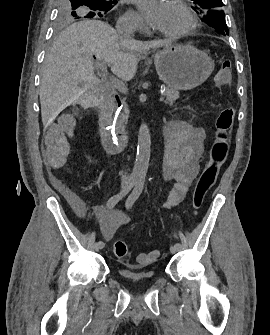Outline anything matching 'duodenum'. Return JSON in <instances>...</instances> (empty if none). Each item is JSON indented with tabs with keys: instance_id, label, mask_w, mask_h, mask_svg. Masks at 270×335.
Wrapping results in <instances>:
<instances>
[{
	"instance_id": "duodenum-1",
	"label": "duodenum",
	"mask_w": 270,
	"mask_h": 335,
	"mask_svg": "<svg viewBox=\"0 0 270 335\" xmlns=\"http://www.w3.org/2000/svg\"><path fill=\"white\" fill-rule=\"evenodd\" d=\"M114 109L115 99L111 97L104 104L99 118L100 136L103 147L107 152L112 154L121 152L126 145V141L117 137L113 131L112 121Z\"/></svg>"
}]
</instances>
